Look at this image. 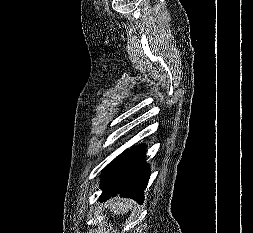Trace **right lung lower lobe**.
<instances>
[{
  "label": "right lung lower lobe",
  "instance_id": "right-lung-lower-lobe-1",
  "mask_svg": "<svg viewBox=\"0 0 253 233\" xmlns=\"http://www.w3.org/2000/svg\"><path fill=\"white\" fill-rule=\"evenodd\" d=\"M146 146L133 147L115 158L102 173L100 201L119 194L143 202V191L150 176L149 165L145 163Z\"/></svg>",
  "mask_w": 253,
  "mask_h": 233
}]
</instances>
